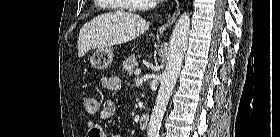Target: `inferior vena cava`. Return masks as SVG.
Instances as JSON below:
<instances>
[{
  "instance_id": "obj_1",
  "label": "inferior vena cava",
  "mask_w": 280,
  "mask_h": 137,
  "mask_svg": "<svg viewBox=\"0 0 280 137\" xmlns=\"http://www.w3.org/2000/svg\"><path fill=\"white\" fill-rule=\"evenodd\" d=\"M154 5H155L154 2H151V3L149 4L150 7H153Z\"/></svg>"
}]
</instances>
